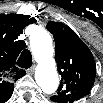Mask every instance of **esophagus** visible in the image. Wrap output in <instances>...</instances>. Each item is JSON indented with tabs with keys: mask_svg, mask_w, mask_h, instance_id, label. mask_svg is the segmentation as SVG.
<instances>
[{
	"mask_svg": "<svg viewBox=\"0 0 103 103\" xmlns=\"http://www.w3.org/2000/svg\"><path fill=\"white\" fill-rule=\"evenodd\" d=\"M34 71H35V66L34 65L28 69L29 74H33Z\"/></svg>",
	"mask_w": 103,
	"mask_h": 103,
	"instance_id": "1",
	"label": "esophagus"
}]
</instances>
